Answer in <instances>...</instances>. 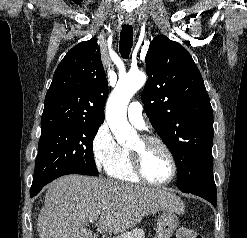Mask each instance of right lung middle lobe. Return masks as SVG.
Listing matches in <instances>:
<instances>
[{
	"label": "right lung middle lobe",
	"mask_w": 247,
	"mask_h": 238,
	"mask_svg": "<svg viewBox=\"0 0 247 238\" xmlns=\"http://www.w3.org/2000/svg\"><path fill=\"white\" fill-rule=\"evenodd\" d=\"M100 125L79 122L41 128L31 191L66 174L97 176L92 145Z\"/></svg>",
	"instance_id": "right-lung-middle-lobe-1"
}]
</instances>
